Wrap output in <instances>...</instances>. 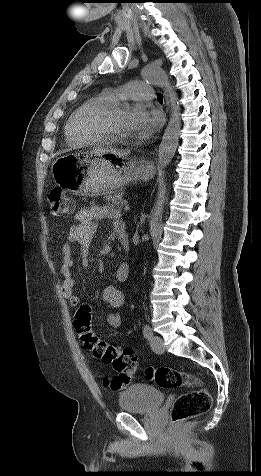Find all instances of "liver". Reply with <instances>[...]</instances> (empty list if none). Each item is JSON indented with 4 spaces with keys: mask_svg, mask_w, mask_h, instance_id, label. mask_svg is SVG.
<instances>
[{
    "mask_svg": "<svg viewBox=\"0 0 261 476\" xmlns=\"http://www.w3.org/2000/svg\"><path fill=\"white\" fill-rule=\"evenodd\" d=\"M92 152L97 153V154H105V153H110L113 154L117 157H123L127 155L125 151H120V150H115V149H105V148H95Z\"/></svg>",
    "mask_w": 261,
    "mask_h": 476,
    "instance_id": "liver-1",
    "label": "liver"
}]
</instances>
